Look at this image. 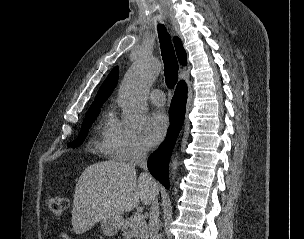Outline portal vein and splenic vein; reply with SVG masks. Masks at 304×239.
Returning a JSON list of instances; mask_svg holds the SVG:
<instances>
[{"mask_svg": "<svg viewBox=\"0 0 304 239\" xmlns=\"http://www.w3.org/2000/svg\"><path fill=\"white\" fill-rule=\"evenodd\" d=\"M137 218H143V215L141 213H138Z\"/></svg>", "mask_w": 304, "mask_h": 239, "instance_id": "obj_1", "label": "portal vein and splenic vein"}]
</instances>
